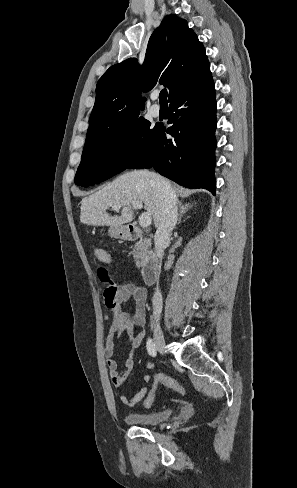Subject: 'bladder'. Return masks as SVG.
Listing matches in <instances>:
<instances>
[{
  "label": "bladder",
  "mask_w": 297,
  "mask_h": 488,
  "mask_svg": "<svg viewBox=\"0 0 297 488\" xmlns=\"http://www.w3.org/2000/svg\"><path fill=\"white\" fill-rule=\"evenodd\" d=\"M170 416L171 411L166 410L156 413H128L124 419L129 425L151 427L168 420Z\"/></svg>",
  "instance_id": "obj_1"
}]
</instances>
